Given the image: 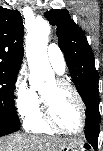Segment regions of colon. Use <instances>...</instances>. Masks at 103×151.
<instances>
[{
  "instance_id": "obj_1",
  "label": "colon",
  "mask_w": 103,
  "mask_h": 151,
  "mask_svg": "<svg viewBox=\"0 0 103 151\" xmlns=\"http://www.w3.org/2000/svg\"><path fill=\"white\" fill-rule=\"evenodd\" d=\"M84 151H90L88 148H85Z\"/></svg>"
}]
</instances>
